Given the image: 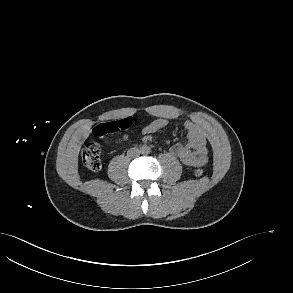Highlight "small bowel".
Returning <instances> with one entry per match:
<instances>
[{
	"instance_id": "small-bowel-1",
	"label": "small bowel",
	"mask_w": 293,
	"mask_h": 293,
	"mask_svg": "<svg viewBox=\"0 0 293 293\" xmlns=\"http://www.w3.org/2000/svg\"><path fill=\"white\" fill-rule=\"evenodd\" d=\"M168 123V120L164 118L155 119L144 127L143 132L155 133L168 126ZM184 128L187 131L184 142L173 145L170 153L187 166H204L208 162L205 130L193 121H186Z\"/></svg>"
}]
</instances>
